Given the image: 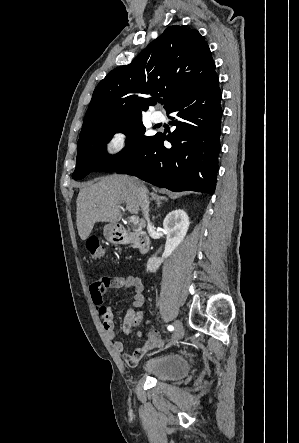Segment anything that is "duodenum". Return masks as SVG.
<instances>
[{"mask_svg": "<svg viewBox=\"0 0 299 443\" xmlns=\"http://www.w3.org/2000/svg\"><path fill=\"white\" fill-rule=\"evenodd\" d=\"M129 230L123 225H116L112 240L116 244L125 245L129 242ZM138 250L141 254H146L150 250V239L146 232L138 230L135 232Z\"/></svg>", "mask_w": 299, "mask_h": 443, "instance_id": "1", "label": "duodenum"}]
</instances>
